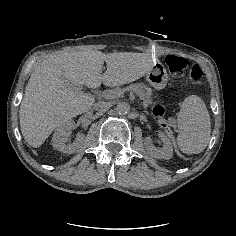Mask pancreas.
Masks as SVG:
<instances>
[{
	"instance_id": "pancreas-1",
	"label": "pancreas",
	"mask_w": 236,
	"mask_h": 236,
	"mask_svg": "<svg viewBox=\"0 0 236 236\" xmlns=\"http://www.w3.org/2000/svg\"><path fill=\"white\" fill-rule=\"evenodd\" d=\"M129 91L134 92L137 97H141L144 102H147L152 97V89L146 85L143 81L131 83L129 86L124 85L121 89L105 90L100 93L99 98L102 101L114 100L127 94Z\"/></svg>"
}]
</instances>
